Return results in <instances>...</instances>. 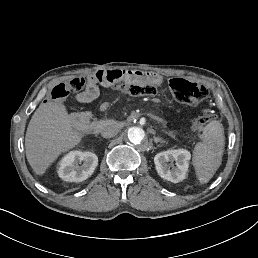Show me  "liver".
Here are the masks:
<instances>
[{
  "instance_id": "1",
  "label": "liver",
  "mask_w": 258,
  "mask_h": 258,
  "mask_svg": "<svg viewBox=\"0 0 258 258\" xmlns=\"http://www.w3.org/2000/svg\"><path fill=\"white\" fill-rule=\"evenodd\" d=\"M79 114L68 115L62 103H42L33 114L25 137L26 157L33 170L42 174L62 151L75 146L80 135L75 131Z\"/></svg>"
}]
</instances>
